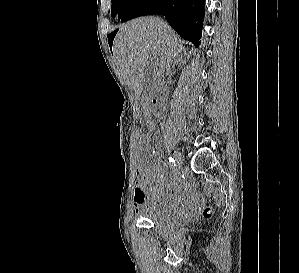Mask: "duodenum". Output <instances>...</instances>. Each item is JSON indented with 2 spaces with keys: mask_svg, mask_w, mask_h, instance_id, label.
<instances>
[{
  "mask_svg": "<svg viewBox=\"0 0 299 273\" xmlns=\"http://www.w3.org/2000/svg\"><path fill=\"white\" fill-rule=\"evenodd\" d=\"M151 105L153 110L158 114V115H163L164 114V99L162 96H152L151 97Z\"/></svg>",
  "mask_w": 299,
  "mask_h": 273,
  "instance_id": "1",
  "label": "duodenum"
}]
</instances>
